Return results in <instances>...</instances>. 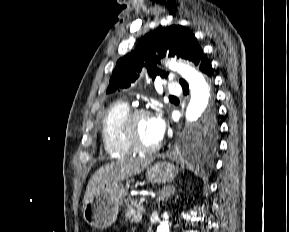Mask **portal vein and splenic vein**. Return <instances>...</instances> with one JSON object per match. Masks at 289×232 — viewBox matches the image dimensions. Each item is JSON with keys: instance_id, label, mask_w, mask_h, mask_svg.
<instances>
[{"instance_id": "obj_1", "label": "portal vein and splenic vein", "mask_w": 289, "mask_h": 232, "mask_svg": "<svg viewBox=\"0 0 289 232\" xmlns=\"http://www.w3.org/2000/svg\"><path fill=\"white\" fill-rule=\"evenodd\" d=\"M145 201H146V198H145V197H141V198H140V202H141V203H143V202H145Z\"/></svg>"}]
</instances>
